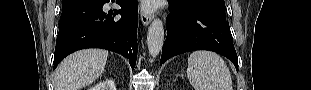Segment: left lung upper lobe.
<instances>
[{
  "label": "left lung upper lobe",
  "instance_id": "obj_1",
  "mask_svg": "<svg viewBox=\"0 0 311 90\" xmlns=\"http://www.w3.org/2000/svg\"><path fill=\"white\" fill-rule=\"evenodd\" d=\"M182 11L205 12L226 20L224 0H168Z\"/></svg>",
  "mask_w": 311,
  "mask_h": 90
}]
</instances>
